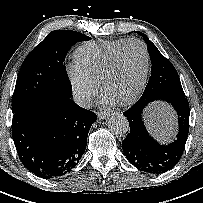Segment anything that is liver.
Returning <instances> with one entry per match:
<instances>
[{
    "label": "liver",
    "mask_w": 203,
    "mask_h": 203,
    "mask_svg": "<svg viewBox=\"0 0 203 203\" xmlns=\"http://www.w3.org/2000/svg\"><path fill=\"white\" fill-rule=\"evenodd\" d=\"M150 125L156 137L166 140L172 132V116L167 111H157L150 114Z\"/></svg>",
    "instance_id": "6515ba94"
}]
</instances>
